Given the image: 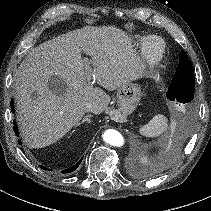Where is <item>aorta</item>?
Instances as JSON below:
<instances>
[{
	"mask_svg": "<svg viewBox=\"0 0 211 211\" xmlns=\"http://www.w3.org/2000/svg\"><path fill=\"white\" fill-rule=\"evenodd\" d=\"M103 140L116 147H122L124 145V138L120 132L114 129H108L103 133Z\"/></svg>",
	"mask_w": 211,
	"mask_h": 211,
	"instance_id": "762f6f07",
	"label": "aorta"
}]
</instances>
